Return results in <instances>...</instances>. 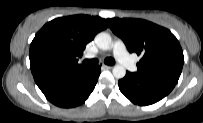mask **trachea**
Returning <instances> with one entry per match:
<instances>
[{"instance_id":"obj_1","label":"trachea","mask_w":203,"mask_h":123,"mask_svg":"<svg viewBox=\"0 0 203 123\" xmlns=\"http://www.w3.org/2000/svg\"><path fill=\"white\" fill-rule=\"evenodd\" d=\"M105 64L107 65H114L115 64V60L113 58H106L104 60ZM98 63V60L97 59H91V60H84L83 61V64H85L86 66H94Z\"/></svg>"}]
</instances>
